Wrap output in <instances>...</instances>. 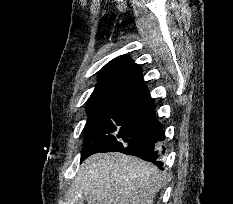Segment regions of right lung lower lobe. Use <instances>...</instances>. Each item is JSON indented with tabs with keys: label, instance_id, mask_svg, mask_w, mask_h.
<instances>
[{
	"label": "right lung lower lobe",
	"instance_id": "98d812e1",
	"mask_svg": "<svg viewBox=\"0 0 233 204\" xmlns=\"http://www.w3.org/2000/svg\"><path fill=\"white\" fill-rule=\"evenodd\" d=\"M161 140H164L163 132L157 136L149 137L145 140L139 141L116 151L140 157L141 159L152 162L159 168H162L163 163L160 160V155L158 154L157 150V142ZM97 152H109V150L85 145L81 154V162L91 154ZM162 153H164V151H162Z\"/></svg>",
	"mask_w": 233,
	"mask_h": 204
}]
</instances>
